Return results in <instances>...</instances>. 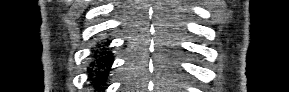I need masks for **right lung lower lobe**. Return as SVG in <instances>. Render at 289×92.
<instances>
[{
  "label": "right lung lower lobe",
  "mask_w": 289,
  "mask_h": 92,
  "mask_svg": "<svg viewBox=\"0 0 289 92\" xmlns=\"http://www.w3.org/2000/svg\"><path fill=\"white\" fill-rule=\"evenodd\" d=\"M110 40L100 44L93 54V60L90 63V80L93 85L100 89L107 79V73L113 63V55L106 47L109 45Z\"/></svg>",
  "instance_id": "obj_1"
}]
</instances>
